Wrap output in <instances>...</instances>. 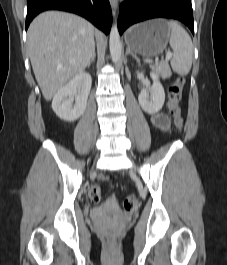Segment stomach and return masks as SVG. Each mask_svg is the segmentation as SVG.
<instances>
[{"label":"stomach","mask_w":227,"mask_h":265,"mask_svg":"<svg viewBox=\"0 0 227 265\" xmlns=\"http://www.w3.org/2000/svg\"><path fill=\"white\" fill-rule=\"evenodd\" d=\"M171 31L164 20L155 19L131 27L125 41L128 48L145 57H154L163 52Z\"/></svg>","instance_id":"stomach-1"}]
</instances>
